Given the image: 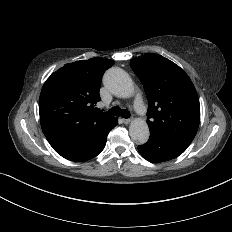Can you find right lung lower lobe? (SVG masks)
Segmentation results:
<instances>
[{"label": "right lung lower lobe", "instance_id": "98d812e1", "mask_svg": "<svg viewBox=\"0 0 232 232\" xmlns=\"http://www.w3.org/2000/svg\"><path fill=\"white\" fill-rule=\"evenodd\" d=\"M117 118L107 124L71 137H48L53 149L71 161H86L97 156L104 148L108 133L117 125Z\"/></svg>", "mask_w": 232, "mask_h": 232}]
</instances>
